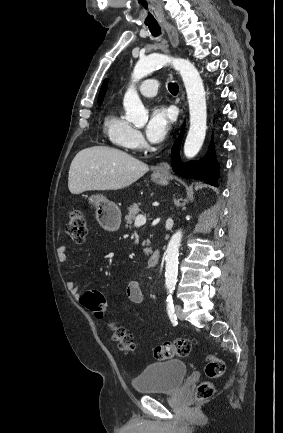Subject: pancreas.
Segmentation results:
<instances>
[{
  "label": "pancreas",
  "mask_w": 283,
  "mask_h": 433,
  "mask_svg": "<svg viewBox=\"0 0 283 433\" xmlns=\"http://www.w3.org/2000/svg\"><path fill=\"white\" fill-rule=\"evenodd\" d=\"M140 204V202H139ZM139 204H130V206H128V214H126L125 217V223L126 225H128L129 229H131V227H133L132 223L133 221H135L136 219V214H138V212H140V208H139ZM145 243H147V245H149V241H145ZM144 253L145 255H149V253H152V249L151 247H147V249H144Z\"/></svg>",
  "instance_id": "1"
}]
</instances>
